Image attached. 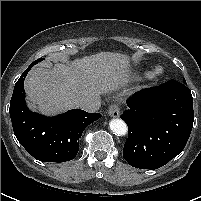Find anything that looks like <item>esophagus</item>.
Listing matches in <instances>:
<instances>
[{
	"label": "esophagus",
	"instance_id": "34e87169",
	"mask_svg": "<svg viewBox=\"0 0 201 201\" xmlns=\"http://www.w3.org/2000/svg\"><path fill=\"white\" fill-rule=\"evenodd\" d=\"M109 115L114 118H118L120 116V109L119 105L116 103H113L109 107Z\"/></svg>",
	"mask_w": 201,
	"mask_h": 201
}]
</instances>
